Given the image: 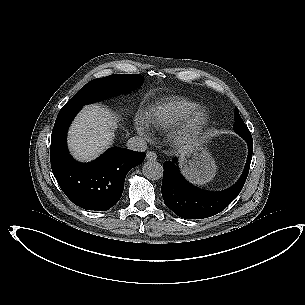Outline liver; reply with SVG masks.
<instances>
[{"instance_id":"obj_1","label":"liver","mask_w":305,"mask_h":305,"mask_svg":"<svg viewBox=\"0 0 305 305\" xmlns=\"http://www.w3.org/2000/svg\"><path fill=\"white\" fill-rule=\"evenodd\" d=\"M164 116L159 115V120ZM118 114L102 104L84 106L75 116L67 133V147L71 156L79 162H89L111 147L114 130L117 128ZM191 146H181L182 153Z\"/></svg>"}]
</instances>
